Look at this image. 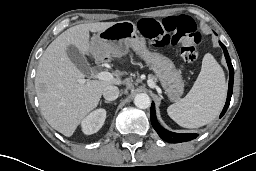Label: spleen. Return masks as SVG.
Returning a JSON list of instances; mask_svg holds the SVG:
<instances>
[{
  "label": "spleen",
  "instance_id": "1",
  "mask_svg": "<svg viewBox=\"0 0 256 171\" xmlns=\"http://www.w3.org/2000/svg\"><path fill=\"white\" fill-rule=\"evenodd\" d=\"M227 93L225 75L214 57L207 53L201 71L189 91L167 108V113L178 125L197 128L213 121L221 112Z\"/></svg>",
  "mask_w": 256,
  "mask_h": 171
}]
</instances>
